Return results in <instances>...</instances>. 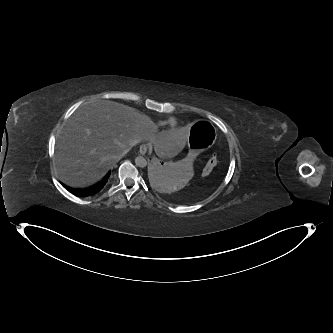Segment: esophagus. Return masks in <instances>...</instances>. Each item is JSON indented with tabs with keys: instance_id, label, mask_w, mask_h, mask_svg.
<instances>
[{
	"instance_id": "esophagus-1",
	"label": "esophagus",
	"mask_w": 333,
	"mask_h": 333,
	"mask_svg": "<svg viewBox=\"0 0 333 333\" xmlns=\"http://www.w3.org/2000/svg\"><path fill=\"white\" fill-rule=\"evenodd\" d=\"M148 147L146 144H142L139 148V152L141 155H145L147 153Z\"/></svg>"
}]
</instances>
